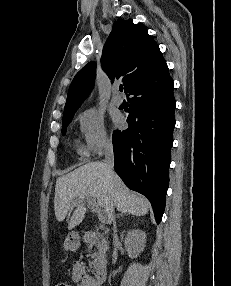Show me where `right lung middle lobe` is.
Returning <instances> with one entry per match:
<instances>
[{
    "label": "right lung middle lobe",
    "mask_w": 231,
    "mask_h": 286,
    "mask_svg": "<svg viewBox=\"0 0 231 286\" xmlns=\"http://www.w3.org/2000/svg\"><path fill=\"white\" fill-rule=\"evenodd\" d=\"M75 112L63 116L62 133L65 134L68 124L71 122Z\"/></svg>",
    "instance_id": "dd1d6c3e"
}]
</instances>
